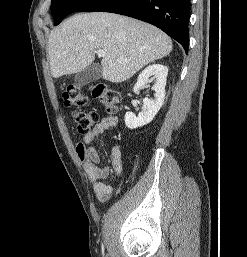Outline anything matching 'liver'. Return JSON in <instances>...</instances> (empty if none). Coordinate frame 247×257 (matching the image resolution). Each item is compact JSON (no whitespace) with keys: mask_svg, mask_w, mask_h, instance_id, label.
Segmentation results:
<instances>
[{"mask_svg":"<svg viewBox=\"0 0 247 257\" xmlns=\"http://www.w3.org/2000/svg\"><path fill=\"white\" fill-rule=\"evenodd\" d=\"M103 50L102 77L121 83L172 50V40L157 27L113 13L76 14L53 29L49 60L54 78L78 73ZM123 60V61H121Z\"/></svg>","mask_w":247,"mask_h":257,"instance_id":"1","label":"liver"}]
</instances>
